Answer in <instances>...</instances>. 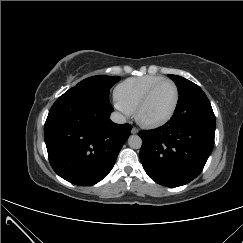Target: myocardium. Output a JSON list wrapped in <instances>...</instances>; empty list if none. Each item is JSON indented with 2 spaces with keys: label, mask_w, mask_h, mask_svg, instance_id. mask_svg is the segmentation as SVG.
<instances>
[{
  "label": "myocardium",
  "mask_w": 243,
  "mask_h": 243,
  "mask_svg": "<svg viewBox=\"0 0 243 243\" xmlns=\"http://www.w3.org/2000/svg\"><path fill=\"white\" fill-rule=\"evenodd\" d=\"M166 83L171 84L173 86L174 92H175V100H174V104H173V107H172L170 113L165 118H163L159 121L148 122V121L142 120L140 117L141 111L148 103L150 97L157 90L158 87H160L161 85L166 84ZM179 99H180V93H179V89H178L176 83L170 79H163V80L155 83L153 86H151L148 89V91L144 94V96L141 98V100L137 104L135 111H134L135 119L142 127L147 128V129H156V128L163 127L166 124H168L175 116L178 105H179Z\"/></svg>",
  "instance_id": "myocardium-1"
}]
</instances>
